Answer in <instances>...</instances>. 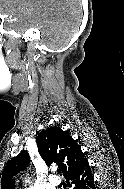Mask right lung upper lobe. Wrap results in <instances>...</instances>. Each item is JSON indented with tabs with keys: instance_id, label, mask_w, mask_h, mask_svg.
Segmentation results:
<instances>
[{
	"instance_id": "right-lung-upper-lobe-1",
	"label": "right lung upper lobe",
	"mask_w": 124,
	"mask_h": 189,
	"mask_svg": "<svg viewBox=\"0 0 124 189\" xmlns=\"http://www.w3.org/2000/svg\"><path fill=\"white\" fill-rule=\"evenodd\" d=\"M36 143L46 164L57 162L64 176L87 160L76 141L59 127H50L40 132L36 137ZM29 162V155L24 150L12 158L3 169L1 189H14L12 177L24 170Z\"/></svg>"
}]
</instances>
